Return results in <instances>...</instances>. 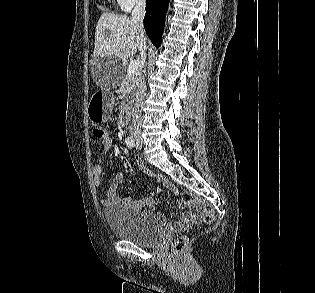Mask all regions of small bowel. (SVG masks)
I'll return each mask as SVG.
<instances>
[{"instance_id":"c3829d8e","label":"small bowel","mask_w":315,"mask_h":293,"mask_svg":"<svg viewBox=\"0 0 315 293\" xmlns=\"http://www.w3.org/2000/svg\"><path fill=\"white\" fill-rule=\"evenodd\" d=\"M102 146H103V151L100 154V156L98 157L97 163L96 165L93 167V183L95 185L96 188H99L102 185V178H101V173H102V160L103 158L106 156V154L109 152L111 146H112V139L109 136H106V138L102 139ZM135 163L138 166V168H140L141 170H145V166L142 162L141 159L136 158L135 159ZM124 178V174L122 172H118L115 177L113 178V180L111 181V183L109 184L108 188H107V192H106V196L105 198H103L101 200V204L104 207H109L115 203L118 202H125V203H129L139 209H141L142 211L148 212L151 208L155 207L156 202L154 200V198H152L151 196H146L143 197L140 200H131L129 197H124L122 199L117 197V190L119 188V186L121 185L122 181ZM156 180L161 183L162 185H164L165 187H167L168 189H170L171 191H173L175 194H178V190L177 188L164 176L162 175H156L155 176ZM190 206V204H186L183 201L179 202V207L182 209L188 208ZM158 219L163 221L164 217L162 215H158ZM198 220V211L197 210H189L187 212H185L182 217L180 218L177 227L180 230H188V228L194 224L195 222H197Z\"/></svg>"}]
</instances>
